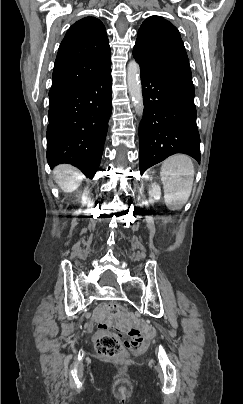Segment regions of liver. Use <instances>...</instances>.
I'll list each match as a JSON object with an SVG mask.
<instances>
[{
    "instance_id": "liver-1",
    "label": "liver",
    "mask_w": 243,
    "mask_h": 404,
    "mask_svg": "<svg viewBox=\"0 0 243 404\" xmlns=\"http://www.w3.org/2000/svg\"><path fill=\"white\" fill-rule=\"evenodd\" d=\"M53 174L56 180V184H58L61 190H63V192H66V194L77 190L83 180L82 174H79L76 168L67 166V164H64V166H57Z\"/></svg>"
}]
</instances>
